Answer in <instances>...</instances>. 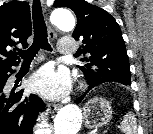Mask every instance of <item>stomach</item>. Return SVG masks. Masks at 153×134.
I'll use <instances>...</instances> for the list:
<instances>
[{
  "label": "stomach",
  "mask_w": 153,
  "mask_h": 134,
  "mask_svg": "<svg viewBox=\"0 0 153 134\" xmlns=\"http://www.w3.org/2000/svg\"><path fill=\"white\" fill-rule=\"evenodd\" d=\"M111 118V105L102 98H92L84 106L85 126L88 129L103 127Z\"/></svg>",
  "instance_id": "1"
}]
</instances>
